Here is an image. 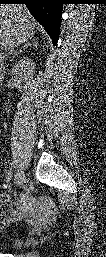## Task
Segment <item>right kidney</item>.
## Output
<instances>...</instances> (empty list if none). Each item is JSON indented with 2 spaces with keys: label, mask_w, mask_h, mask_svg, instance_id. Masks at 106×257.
Masks as SVG:
<instances>
[{
  "label": "right kidney",
  "mask_w": 106,
  "mask_h": 257,
  "mask_svg": "<svg viewBox=\"0 0 106 257\" xmlns=\"http://www.w3.org/2000/svg\"><path fill=\"white\" fill-rule=\"evenodd\" d=\"M35 63L32 59L24 58L14 65L12 74L16 77L17 87L22 88L23 83L30 80L33 76Z\"/></svg>",
  "instance_id": "1"
}]
</instances>
